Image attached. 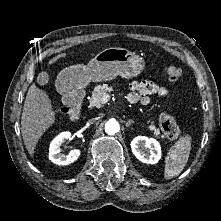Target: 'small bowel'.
<instances>
[{
    "label": "small bowel",
    "mask_w": 221,
    "mask_h": 221,
    "mask_svg": "<svg viewBox=\"0 0 221 221\" xmlns=\"http://www.w3.org/2000/svg\"><path fill=\"white\" fill-rule=\"evenodd\" d=\"M133 92L128 96L130 103H140L148 105L150 102L149 96H157L160 98H168L169 92L166 88L152 82V81H139L133 82L131 85Z\"/></svg>",
    "instance_id": "small-bowel-1"
}]
</instances>
